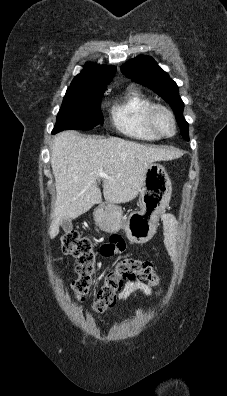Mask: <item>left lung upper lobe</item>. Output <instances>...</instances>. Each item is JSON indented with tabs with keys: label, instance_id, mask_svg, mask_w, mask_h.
I'll return each mask as SVG.
<instances>
[{
	"label": "left lung upper lobe",
	"instance_id": "obj_1",
	"mask_svg": "<svg viewBox=\"0 0 227 396\" xmlns=\"http://www.w3.org/2000/svg\"><path fill=\"white\" fill-rule=\"evenodd\" d=\"M122 73L137 83L145 85L157 93L172 107L183 139L189 141L188 123L183 117L184 103L179 96L176 83L150 56H139L121 67Z\"/></svg>",
	"mask_w": 227,
	"mask_h": 396
}]
</instances>
